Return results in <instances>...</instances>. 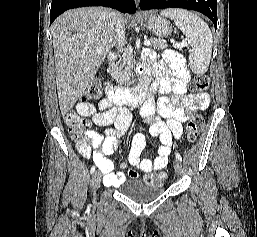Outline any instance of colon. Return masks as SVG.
Returning <instances> with one entry per match:
<instances>
[{"label":"colon","mask_w":257,"mask_h":237,"mask_svg":"<svg viewBox=\"0 0 257 237\" xmlns=\"http://www.w3.org/2000/svg\"><path fill=\"white\" fill-rule=\"evenodd\" d=\"M209 88V78L206 75H196L192 82V90L196 92H205ZM102 95V87L99 81L95 80L87 87L84 98L85 100H98ZM65 123L68 127L69 134L75 139L81 140L82 134L89 130L91 123L89 120L81 118L74 112L65 114ZM204 126L202 116L192 115L186 123V136L189 142L196 141ZM166 179L163 172L149 173L144 181L148 184H162Z\"/></svg>","instance_id":"5ec220e1"}]
</instances>
